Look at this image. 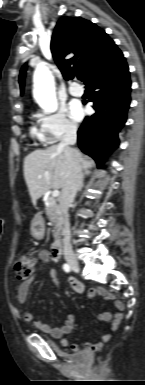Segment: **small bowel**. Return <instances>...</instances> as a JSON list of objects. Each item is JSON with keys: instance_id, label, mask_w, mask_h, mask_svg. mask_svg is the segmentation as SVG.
<instances>
[{"instance_id": "c3829d8e", "label": "small bowel", "mask_w": 145, "mask_h": 385, "mask_svg": "<svg viewBox=\"0 0 145 385\" xmlns=\"http://www.w3.org/2000/svg\"><path fill=\"white\" fill-rule=\"evenodd\" d=\"M53 258L54 257L52 255L51 251H49V250L42 249L38 252V260L42 264H46V263L50 262ZM50 275L52 277V281L55 284V286L59 287L60 282H59V279L57 277V273L54 269H52L50 271ZM31 282H32V279H29L27 281L22 282L19 285L18 290H17V300H18L19 304L25 303V301L28 297V294H29ZM69 282L72 285V288L77 293L85 292V286L81 282H79L77 279L70 277ZM95 296H100L106 300L115 299V295L105 288L90 289L87 291L88 299H92ZM114 306H115L114 312H102V313H99L97 315V318L100 321H104V322L111 321V326L108 329V331L101 337V339L99 340L98 343L88 344L87 345L88 348L94 347V349H99L109 341V339L112 335V332L114 331V329L117 327V325L120 323V321L122 319V315H123L122 311L124 310V303L121 300H115ZM23 318L26 322H30V323L35 324L37 326V328L39 330H41L42 332L48 333L54 338L61 339L62 345H64V346L69 345L68 339L64 338V336L69 334L74 327V324L76 321V316L74 314H68L64 324L58 328L51 327L50 325H48L46 323H43L41 321L36 320L35 317L33 316V314L29 311H25L23 313ZM71 348L73 351H76V352L79 351V346L77 344H73L71 346Z\"/></svg>"}]
</instances>
